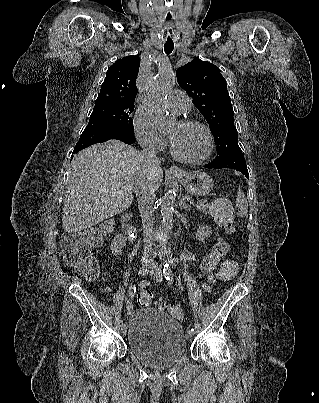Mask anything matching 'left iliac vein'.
Masks as SVG:
<instances>
[{"instance_id": "left-iliac-vein-1", "label": "left iliac vein", "mask_w": 319, "mask_h": 403, "mask_svg": "<svg viewBox=\"0 0 319 403\" xmlns=\"http://www.w3.org/2000/svg\"><path fill=\"white\" fill-rule=\"evenodd\" d=\"M151 269H152L151 273H150L151 277L154 280H156L157 282H161L162 281V271H161V269L156 264H153ZM187 339L188 340L193 339V333L192 332L189 331L187 333Z\"/></svg>"}]
</instances>
